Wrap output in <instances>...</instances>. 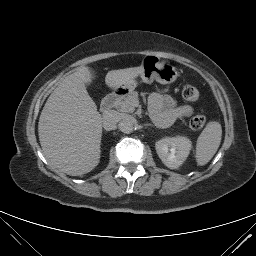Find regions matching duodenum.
<instances>
[{
    "instance_id": "1",
    "label": "duodenum",
    "mask_w": 256,
    "mask_h": 256,
    "mask_svg": "<svg viewBox=\"0 0 256 256\" xmlns=\"http://www.w3.org/2000/svg\"><path fill=\"white\" fill-rule=\"evenodd\" d=\"M125 90L123 89H116L115 91L108 94L102 101L101 110L103 112L110 111L115 103L125 94Z\"/></svg>"
}]
</instances>
